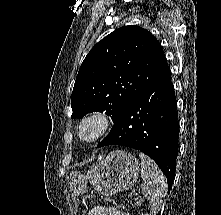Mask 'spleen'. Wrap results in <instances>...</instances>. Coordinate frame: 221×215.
Returning <instances> with one entry per match:
<instances>
[{"label":"spleen","mask_w":221,"mask_h":215,"mask_svg":"<svg viewBox=\"0 0 221 215\" xmlns=\"http://www.w3.org/2000/svg\"><path fill=\"white\" fill-rule=\"evenodd\" d=\"M141 159L142 193L149 200L155 213L163 203L167 192V181L157 164L148 156L139 153Z\"/></svg>","instance_id":"1"}]
</instances>
